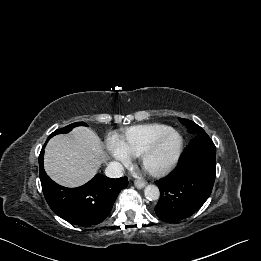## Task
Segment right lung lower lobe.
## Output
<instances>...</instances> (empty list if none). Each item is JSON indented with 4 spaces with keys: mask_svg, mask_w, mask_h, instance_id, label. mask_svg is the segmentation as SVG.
<instances>
[{
    "mask_svg": "<svg viewBox=\"0 0 261 261\" xmlns=\"http://www.w3.org/2000/svg\"><path fill=\"white\" fill-rule=\"evenodd\" d=\"M46 143L39 155V169L42 191L50 208L72 224L88 227L102 222L109 215L119 192L127 187V177L111 179L97 174L81 187L60 186L49 178L43 168Z\"/></svg>",
    "mask_w": 261,
    "mask_h": 261,
    "instance_id": "obj_1",
    "label": "right lung lower lobe"
}]
</instances>
